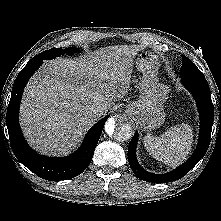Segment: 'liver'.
Wrapping results in <instances>:
<instances>
[{"mask_svg":"<svg viewBox=\"0 0 221 221\" xmlns=\"http://www.w3.org/2000/svg\"><path fill=\"white\" fill-rule=\"evenodd\" d=\"M142 46L101 48L78 59L47 61L25 88L20 106L23 133L35 150L66 155L130 87L133 59ZM101 107L100 116L93 109Z\"/></svg>","mask_w":221,"mask_h":221,"instance_id":"6515ba94","label":"liver"}]
</instances>
